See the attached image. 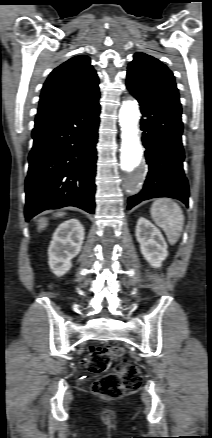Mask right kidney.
<instances>
[{"label":"right kidney","mask_w":212,"mask_h":438,"mask_svg":"<svg viewBox=\"0 0 212 438\" xmlns=\"http://www.w3.org/2000/svg\"><path fill=\"white\" fill-rule=\"evenodd\" d=\"M84 235V227L77 219L61 223L55 230L48 249V263L56 276L64 275L71 268V260L79 254Z\"/></svg>","instance_id":"obj_1"}]
</instances>
